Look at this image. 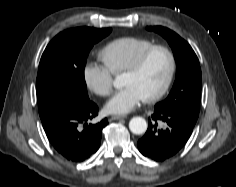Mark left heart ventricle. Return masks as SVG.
Segmentation results:
<instances>
[{
  "mask_svg": "<svg viewBox=\"0 0 236 187\" xmlns=\"http://www.w3.org/2000/svg\"><path fill=\"white\" fill-rule=\"evenodd\" d=\"M169 69V59L162 51L153 52L136 74L124 73L123 85L134 86L143 97L157 92L164 84Z\"/></svg>",
  "mask_w": 236,
  "mask_h": 187,
  "instance_id": "b2bd125f",
  "label": "left heart ventricle"
}]
</instances>
